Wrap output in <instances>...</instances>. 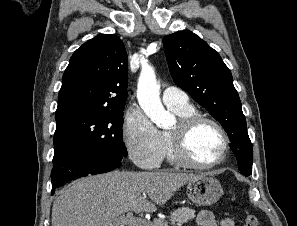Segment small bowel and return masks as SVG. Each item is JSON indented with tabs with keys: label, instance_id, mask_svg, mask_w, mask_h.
I'll list each match as a JSON object with an SVG mask.
<instances>
[{
	"label": "small bowel",
	"instance_id": "c3829d8e",
	"mask_svg": "<svg viewBox=\"0 0 297 226\" xmlns=\"http://www.w3.org/2000/svg\"><path fill=\"white\" fill-rule=\"evenodd\" d=\"M197 223L199 226H218L212 212L204 210L197 216ZM220 226H235L234 221L230 218H225L220 222Z\"/></svg>",
	"mask_w": 297,
	"mask_h": 226
}]
</instances>
